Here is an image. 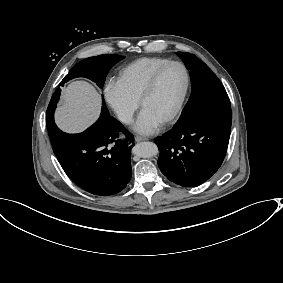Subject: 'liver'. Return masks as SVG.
<instances>
[{"instance_id":"liver-1","label":"liver","mask_w":283,"mask_h":283,"mask_svg":"<svg viewBox=\"0 0 283 283\" xmlns=\"http://www.w3.org/2000/svg\"><path fill=\"white\" fill-rule=\"evenodd\" d=\"M100 103V95L90 84L74 82L64 90L57 124L67 132L81 131L98 116Z\"/></svg>"}]
</instances>
